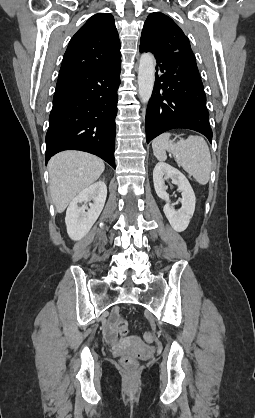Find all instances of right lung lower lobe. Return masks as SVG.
<instances>
[{
  "mask_svg": "<svg viewBox=\"0 0 255 418\" xmlns=\"http://www.w3.org/2000/svg\"><path fill=\"white\" fill-rule=\"evenodd\" d=\"M121 61L61 75L46 134V162L63 150L95 154L115 168V117Z\"/></svg>",
  "mask_w": 255,
  "mask_h": 418,
  "instance_id": "98d812e1",
  "label": "right lung lower lobe"
}]
</instances>
